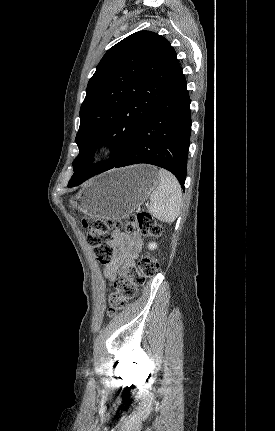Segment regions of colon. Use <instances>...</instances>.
<instances>
[{
	"label": "colon",
	"mask_w": 275,
	"mask_h": 431,
	"mask_svg": "<svg viewBox=\"0 0 275 431\" xmlns=\"http://www.w3.org/2000/svg\"><path fill=\"white\" fill-rule=\"evenodd\" d=\"M83 226L88 230L87 240L96 259L107 266L113 259L114 249L111 245V230L126 228L129 231L138 229L145 235L155 236L161 227L147 212L131 214L122 221H113L98 217H86ZM159 269V262L154 257L141 259L136 267L130 268L125 275L115 281V291L108 296L109 316L121 311L126 303L135 295L138 286L147 278L153 277Z\"/></svg>",
	"instance_id": "colon-1"
}]
</instances>
